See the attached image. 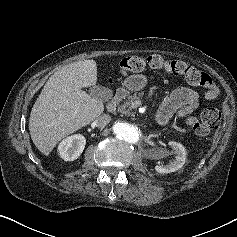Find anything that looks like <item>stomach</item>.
I'll list each match as a JSON object with an SVG mask.
<instances>
[{
	"mask_svg": "<svg viewBox=\"0 0 237 237\" xmlns=\"http://www.w3.org/2000/svg\"><path fill=\"white\" fill-rule=\"evenodd\" d=\"M145 85H146L145 77L139 74L130 75L123 82V86L131 92L139 91L143 89Z\"/></svg>",
	"mask_w": 237,
	"mask_h": 237,
	"instance_id": "1",
	"label": "stomach"
}]
</instances>
